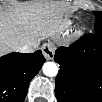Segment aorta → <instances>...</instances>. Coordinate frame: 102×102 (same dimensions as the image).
<instances>
[{"instance_id": "762f6f07", "label": "aorta", "mask_w": 102, "mask_h": 102, "mask_svg": "<svg viewBox=\"0 0 102 102\" xmlns=\"http://www.w3.org/2000/svg\"><path fill=\"white\" fill-rule=\"evenodd\" d=\"M43 73L48 77H54L58 73V66L54 62H46L42 67Z\"/></svg>"}]
</instances>
